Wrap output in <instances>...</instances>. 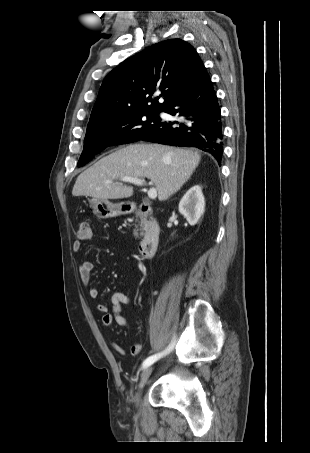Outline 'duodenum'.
I'll return each mask as SVG.
<instances>
[{
  "mask_svg": "<svg viewBox=\"0 0 310 453\" xmlns=\"http://www.w3.org/2000/svg\"><path fill=\"white\" fill-rule=\"evenodd\" d=\"M152 212L153 209L148 203L124 209L125 214H137L145 220V233L139 244V252L145 258H149L155 254L160 239V225L152 217Z\"/></svg>",
  "mask_w": 310,
  "mask_h": 453,
  "instance_id": "410a0bca",
  "label": "duodenum"
}]
</instances>
